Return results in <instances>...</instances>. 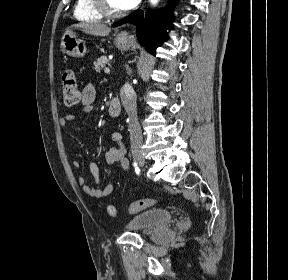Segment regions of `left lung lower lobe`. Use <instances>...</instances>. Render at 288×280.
Returning a JSON list of instances; mask_svg holds the SVG:
<instances>
[{
  "mask_svg": "<svg viewBox=\"0 0 288 280\" xmlns=\"http://www.w3.org/2000/svg\"><path fill=\"white\" fill-rule=\"evenodd\" d=\"M173 16L168 11L147 10L144 18L143 11H135L115 25L133 23L137 26V36L139 43L146 47L147 51L156 54V48L167 38L166 29L171 26Z\"/></svg>",
  "mask_w": 288,
  "mask_h": 280,
  "instance_id": "left-lung-lower-lobe-1",
  "label": "left lung lower lobe"
}]
</instances>
